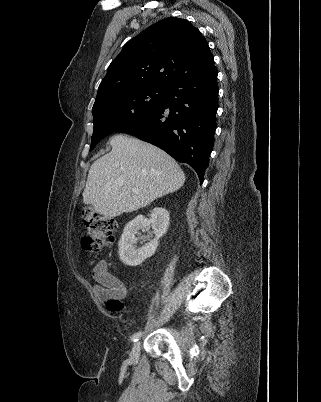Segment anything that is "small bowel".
Masks as SVG:
<instances>
[{"label": "small bowel", "mask_w": 321, "mask_h": 402, "mask_svg": "<svg viewBox=\"0 0 321 402\" xmlns=\"http://www.w3.org/2000/svg\"><path fill=\"white\" fill-rule=\"evenodd\" d=\"M96 281L94 292L100 299L123 298L126 295V288L122 281L108 271L104 262L98 263L92 270Z\"/></svg>", "instance_id": "c3829d8e"}]
</instances>
